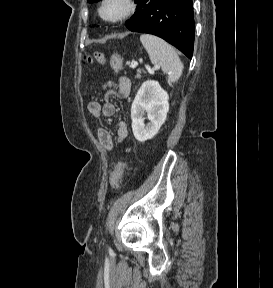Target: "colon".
<instances>
[{
	"instance_id": "obj_1",
	"label": "colon",
	"mask_w": 273,
	"mask_h": 288,
	"mask_svg": "<svg viewBox=\"0 0 273 288\" xmlns=\"http://www.w3.org/2000/svg\"><path fill=\"white\" fill-rule=\"evenodd\" d=\"M96 61L98 63H103L104 57L101 53L96 52L93 54V56L89 57V61ZM111 66L115 71H120L123 67V60L122 57L114 53L111 56ZM127 169V163L125 161H119L114 169L111 171L109 176V184L112 189H118L120 187V184L122 183L125 171Z\"/></svg>"
}]
</instances>
